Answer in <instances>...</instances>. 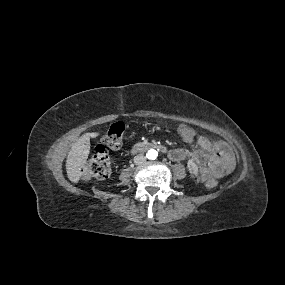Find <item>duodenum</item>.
Instances as JSON below:
<instances>
[{
	"label": "duodenum",
	"instance_id": "duodenum-1",
	"mask_svg": "<svg viewBox=\"0 0 285 285\" xmlns=\"http://www.w3.org/2000/svg\"><path fill=\"white\" fill-rule=\"evenodd\" d=\"M151 148L158 149L159 151L165 152L166 147L161 145V144H156V143H139L136 144L135 146L132 147L131 152L136 153V152H142Z\"/></svg>",
	"mask_w": 285,
	"mask_h": 285
}]
</instances>
